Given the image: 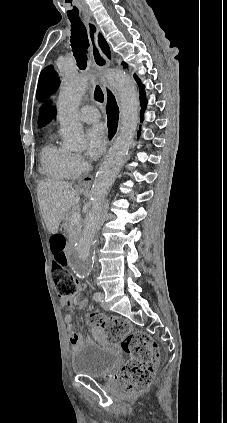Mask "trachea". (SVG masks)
<instances>
[{
	"mask_svg": "<svg viewBox=\"0 0 227 423\" xmlns=\"http://www.w3.org/2000/svg\"><path fill=\"white\" fill-rule=\"evenodd\" d=\"M71 22V47L73 55L76 59L77 66L80 70H85L87 66V50L89 47V39L84 23L79 18L70 19ZM94 98L97 102L104 101V94L99 85H96Z\"/></svg>",
	"mask_w": 227,
	"mask_h": 423,
	"instance_id": "obj_1",
	"label": "trachea"
}]
</instances>
